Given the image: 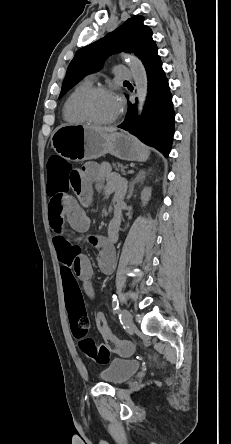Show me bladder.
I'll list each match as a JSON object with an SVG mask.
<instances>
[{"mask_svg":"<svg viewBox=\"0 0 231 444\" xmlns=\"http://www.w3.org/2000/svg\"><path fill=\"white\" fill-rule=\"evenodd\" d=\"M140 369V363L130 359H112L100 373V378L112 385H119L128 380Z\"/></svg>","mask_w":231,"mask_h":444,"instance_id":"1","label":"bladder"}]
</instances>
